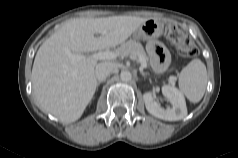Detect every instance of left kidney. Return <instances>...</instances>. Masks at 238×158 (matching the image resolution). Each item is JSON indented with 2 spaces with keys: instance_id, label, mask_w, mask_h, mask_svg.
<instances>
[{
  "instance_id": "obj_1",
  "label": "left kidney",
  "mask_w": 238,
  "mask_h": 158,
  "mask_svg": "<svg viewBox=\"0 0 238 158\" xmlns=\"http://www.w3.org/2000/svg\"><path fill=\"white\" fill-rule=\"evenodd\" d=\"M163 95L170 101L172 107L162 108L152 97L150 92L143 95L147 111L162 120L177 121L187 116V107L183 94L175 87L170 85L162 86Z\"/></svg>"
}]
</instances>
